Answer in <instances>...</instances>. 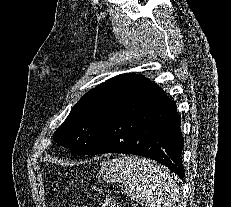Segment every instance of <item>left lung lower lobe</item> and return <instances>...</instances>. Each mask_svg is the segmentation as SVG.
Masks as SVG:
<instances>
[{
	"mask_svg": "<svg viewBox=\"0 0 231 207\" xmlns=\"http://www.w3.org/2000/svg\"><path fill=\"white\" fill-rule=\"evenodd\" d=\"M180 121L175 102L148 80L107 121L83 154L141 155L167 166L183 179Z\"/></svg>",
	"mask_w": 231,
	"mask_h": 207,
	"instance_id": "left-lung-lower-lobe-1",
	"label": "left lung lower lobe"
}]
</instances>
